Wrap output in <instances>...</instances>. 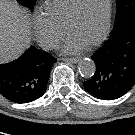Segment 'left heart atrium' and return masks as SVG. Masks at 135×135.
I'll return each instance as SVG.
<instances>
[{"label": "left heart atrium", "instance_id": "left-heart-atrium-1", "mask_svg": "<svg viewBox=\"0 0 135 135\" xmlns=\"http://www.w3.org/2000/svg\"><path fill=\"white\" fill-rule=\"evenodd\" d=\"M84 46L85 44L68 35L63 46V51L65 53H77L82 50Z\"/></svg>", "mask_w": 135, "mask_h": 135}]
</instances>
